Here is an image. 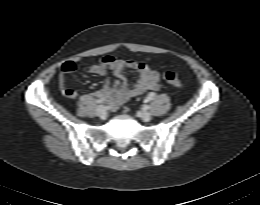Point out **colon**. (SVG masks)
<instances>
[{
    "label": "colon",
    "mask_w": 260,
    "mask_h": 205,
    "mask_svg": "<svg viewBox=\"0 0 260 205\" xmlns=\"http://www.w3.org/2000/svg\"><path fill=\"white\" fill-rule=\"evenodd\" d=\"M163 77L165 81L173 87L181 88L183 85L178 75L170 69L163 70Z\"/></svg>",
    "instance_id": "5ec220e1"
}]
</instances>
